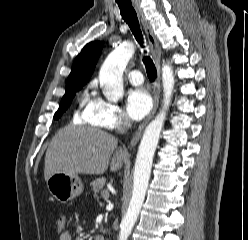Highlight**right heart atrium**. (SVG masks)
Here are the masks:
<instances>
[{"mask_svg": "<svg viewBox=\"0 0 248 240\" xmlns=\"http://www.w3.org/2000/svg\"><path fill=\"white\" fill-rule=\"evenodd\" d=\"M88 123L106 130L127 127L130 121L125 112L116 104L102 97H95L87 109Z\"/></svg>", "mask_w": 248, "mask_h": 240, "instance_id": "1", "label": "right heart atrium"}]
</instances>
